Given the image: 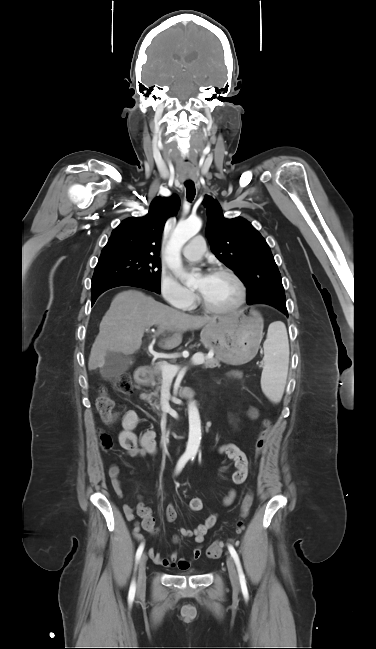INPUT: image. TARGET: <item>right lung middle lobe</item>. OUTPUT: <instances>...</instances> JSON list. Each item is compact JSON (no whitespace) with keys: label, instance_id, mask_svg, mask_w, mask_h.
I'll return each instance as SVG.
<instances>
[{"label":"right lung middle lobe","instance_id":"right-lung-middle-lobe-1","mask_svg":"<svg viewBox=\"0 0 376 649\" xmlns=\"http://www.w3.org/2000/svg\"><path fill=\"white\" fill-rule=\"evenodd\" d=\"M161 262L158 254L116 252L101 254L92 286L106 281L141 282L160 293Z\"/></svg>","mask_w":376,"mask_h":649}]
</instances>
